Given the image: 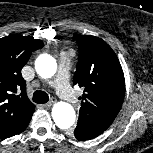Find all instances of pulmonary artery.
Returning a JSON list of instances; mask_svg holds the SVG:
<instances>
[{
  "instance_id": "e3ab8cb5",
  "label": "pulmonary artery",
  "mask_w": 153,
  "mask_h": 153,
  "mask_svg": "<svg viewBox=\"0 0 153 153\" xmlns=\"http://www.w3.org/2000/svg\"><path fill=\"white\" fill-rule=\"evenodd\" d=\"M70 59V53L61 54L58 73L52 85L61 98L70 103H76V95L69 84Z\"/></svg>"
}]
</instances>
